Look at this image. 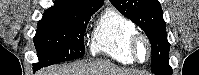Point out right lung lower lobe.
<instances>
[{
    "label": "right lung lower lobe",
    "mask_w": 199,
    "mask_h": 75,
    "mask_svg": "<svg viewBox=\"0 0 199 75\" xmlns=\"http://www.w3.org/2000/svg\"><path fill=\"white\" fill-rule=\"evenodd\" d=\"M33 71L35 72V71H36V69H34V68H33Z\"/></svg>",
    "instance_id": "obj_1"
}]
</instances>
